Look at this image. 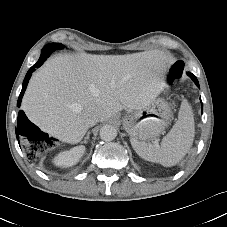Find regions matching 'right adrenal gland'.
<instances>
[{
  "instance_id": "right-adrenal-gland-1",
  "label": "right adrenal gland",
  "mask_w": 227,
  "mask_h": 227,
  "mask_svg": "<svg viewBox=\"0 0 227 227\" xmlns=\"http://www.w3.org/2000/svg\"><path fill=\"white\" fill-rule=\"evenodd\" d=\"M89 134H90V132L87 133V136L84 138V141L82 143H84V144L87 143V139H89Z\"/></svg>"
}]
</instances>
